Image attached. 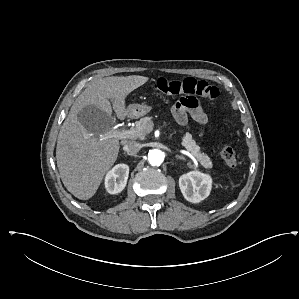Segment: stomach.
<instances>
[{
  "instance_id": "stomach-1",
  "label": "stomach",
  "mask_w": 299,
  "mask_h": 299,
  "mask_svg": "<svg viewBox=\"0 0 299 299\" xmlns=\"http://www.w3.org/2000/svg\"><path fill=\"white\" fill-rule=\"evenodd\" d=\"M127 109H128V116L130 118L137 119L149 113L152 107L146 104H131L128 106Z\"/></svg>"
}]
</instances>
